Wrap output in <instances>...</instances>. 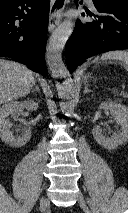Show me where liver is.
I'll return each mask as SVG.
<instances>
[{"instance_id": "liver-1", "label": "liver", "mask_w": 128, "mask_h": 213, "mask_svg": "<svg viewBox=\"0 0 128 213\" xmlns=\"http://www.w3.org/2000/svg\"><path fill=\"white\" fill-rule=\"evenodd\" d=\"M34 83L33 72L26 66L0 59V105L26 96Z\"/></svg>"}]
</instances>
